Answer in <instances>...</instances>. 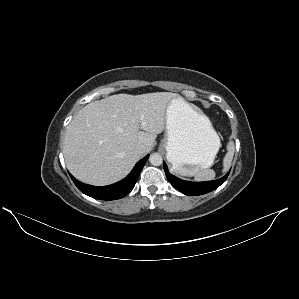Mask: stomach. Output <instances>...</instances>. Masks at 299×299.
<instances>
[{
  "mask_svg": "<svg viewBox=\"0 0 299 299\" xmlns=\"http://www.w3.org/2000/svg\"><path fill=\"white\" fill-rule=\"evenodd\" d=\"M220 145V138L205 115L180 96L170 100L160 146L166 150L175 173L191 176L210 167Z\"/></svg>",
  "mask_w": 299,
  "mask_h": 299,
  "instance_id": "stomach-1",
  "label": "stomach"
}]
</instances>
